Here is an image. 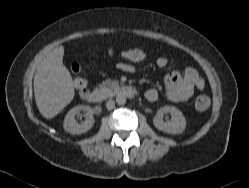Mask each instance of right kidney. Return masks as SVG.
I'll list each match as a JSON object with an SVG mask.
<instances>
[{
  "label": "right kidney",
  "mask_w": 249,
  "mask_h": 188,
  "mask_svg": "<svg viewBox=\"0 0 249 188\" xmlns=\"http://www.w3.org/2000/svg\"><path fill=\"white\" fill-rule=\"evenodd\" d=\"M85 112V121L77 122L75 117L79 115L80 112ZM95 123L93 118V111L89 106L78 105L72 108L64 118L63 127L64 130L70 134H82L89 131Z\"/></svg>",
  "instance_id": "obj_1"
}]
</instances>
